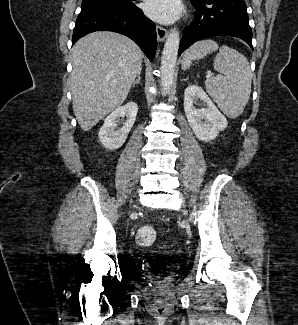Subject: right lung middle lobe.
Segmentation results:
<instances>
[{
  "mask_svg": "<svg viewBox=\"0 0 298 325\" xmlns=\"http://www.w3.org/2000/svg\"><path fill=\"white\" fill-rule=\"evenodd\" d=\"M130 0H82L81 12L107 9L131 8Z\"/></svg>",
  "mask_w": 298,
  "mask_h": 325,
  "instance_id": "obj_1",
  "label": "right lung middle lobe"
}]
</instances>
